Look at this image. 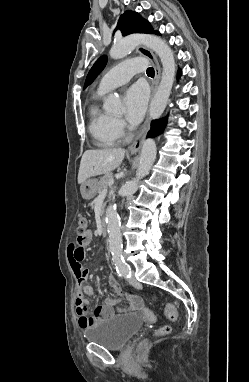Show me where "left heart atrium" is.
<instances>
[{
    "mask_svg": "<svg viewBox=\"0 0 249 382\" xmlns=\"http://www.w3.org/2000/svg\"><path fill=\"white\" fill-rule=\"evenodd\" d=\"M148 102V93L146 89L140 85L135 84L130 87L125 94V116L131 123H139L146 111Z\"/></svg>",
    "mask_w": 249,
    "mask_h": 382,
    "instance_id": "39dd6f15",
    "label": "left heart atrium"
}]
</instances>
